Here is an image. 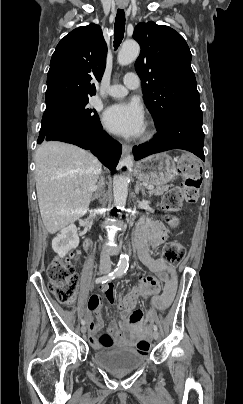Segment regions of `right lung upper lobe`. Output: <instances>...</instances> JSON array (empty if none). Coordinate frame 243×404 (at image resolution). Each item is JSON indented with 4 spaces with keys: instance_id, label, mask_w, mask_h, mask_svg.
Wrapping results in <instances>:
<instances>
[{
    "instance_id": "obj_1",
    "label": "right lung upper lobe",
    "mask_w": 243,
    "mask_h": 404,
    "mask_svg": "<svg viewBox=\"0 0 243 404\" xmlns=\"http://www.w3.org/2000/svg\"><path fill=\"white\" fill-rule=\"evenodd\" d=\"M107 46L96 24L81 26L66 35L52 55L47 75L46 104L96 93L92 81L105 70Z\"/></svg>"
}]
</instances>
